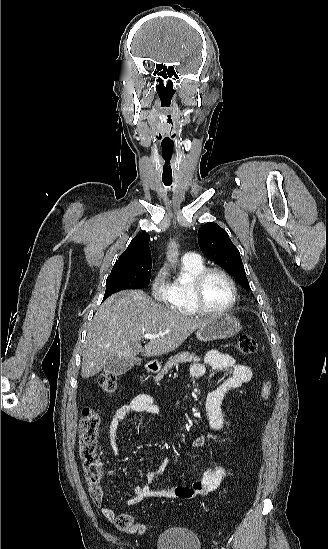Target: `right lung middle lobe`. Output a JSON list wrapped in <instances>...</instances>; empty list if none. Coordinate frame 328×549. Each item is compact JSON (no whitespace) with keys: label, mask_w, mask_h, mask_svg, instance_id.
Returning <instances> with one entry per match:
<instances>
[{"label":"right lung middle lobe","mask_w":328,"mask_h":549,"mask_svg":"<svg viewBox=\"0 0 328 549\" xmlns=\"http://www.w3.org/2000/svg\"><path fill=\"white\" fill-rule=\"evenodd\" d=\"M152 262L143 260L111 272L106 280L103 301L113 293L124 289H138L150 282Z\"/></svg>","instance_id":"obj_1"}]
</instances>
